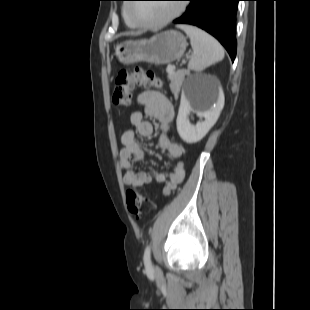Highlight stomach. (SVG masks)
Listing matches in <instances>:
<instances>
[{
  "mask_svg": "<svg viewBox=\"0 0 310 310\" xmlns=\"http://www.w3.org/2000/svg\"><path fill=\"white\" fill-rule=\"evenodd\" d=\"M186 47L187 41L184 35L170 30L156 34L150 39L118 43L114 50L118 61L123 64L145 61L164 65L182 57Z\"/></svg>",
  "mask_w": 310,
  "mask_h": 310,
  "instance_id": "1",
  "label": "stomach"
}]
</instances>
